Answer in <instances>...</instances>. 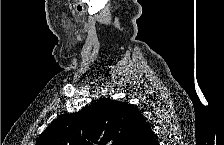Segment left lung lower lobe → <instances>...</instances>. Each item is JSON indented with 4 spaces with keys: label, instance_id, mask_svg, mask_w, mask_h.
I'll return each instance as SVG.
<instances>
[{
    "label": "left lung lower lobe",
    "instance_id": "obj_1",
    "mask_svg": "<svg viewBox=\"0 0 224 145\" xmlns=\"http://www.w3.org/2000/svg\"><path fill=\"white\" fill-rule=\"evenodd\" d=\"M128 145H158L151 127L145 122L143 116L137 118L135 129Z\"/></svg>",
    "mask_w": 224,
    "mask_h": 145
}]
</instances>
